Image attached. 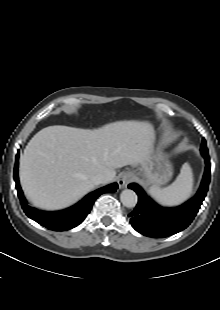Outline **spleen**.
Wrapping results in <instances>:
<instances>
[{"instance_id": "3e777b00", "label": "spleen", "mask_w": 220, "mask_h": 310, "mask_svg": "<svg viewBox=\"0 0 220 310\" xmlns=\"http://www.w3.org/2000/svg\"><path fill=\"white\" fill-rule=\"evenodd\" d=\"M193 189V174L188 163L182 165L176 180L165 188L153 186L150 195L163 206H176L187 200Z\"/></svg>"}]
</instances>
